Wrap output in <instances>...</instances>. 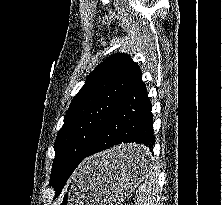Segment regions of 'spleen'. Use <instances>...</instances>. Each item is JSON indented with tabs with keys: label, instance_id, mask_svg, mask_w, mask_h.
Here are the masks:
<instances>
[{
	"label": "spleen",
	"instance_id": "1",
	"mask_svg": "<svg viewBox=\"0 0 222 205\" xmlns=\"http://www.w3.org/2000/svg\"><path fill=\"white\" fill-rule=\"evenodd\" d=\"M158 174L151 165L145 176V181L136 191V205H160L158 195Z\"/></svg>",
	"mask_w": 222,
	"mask_h": 205
}]
</instances>
